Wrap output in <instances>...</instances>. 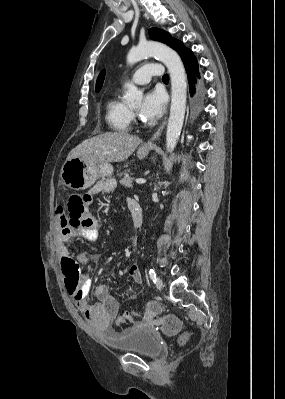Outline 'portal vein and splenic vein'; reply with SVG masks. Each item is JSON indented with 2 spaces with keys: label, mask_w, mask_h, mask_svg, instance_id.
Listing matches in <instances>:
<instances>
[{
  "label": "portal vein and splenic vein",
  "mask_w": 285,
  "mask_h": 399,
  "mask_svg": "<svg viewBox=\"0 0 285 399\" xmlns=\"http://www.w3.org/2000/svg\"><path fill=\"white\" fill-rule=\"evenodd\" d=\"M136 183L137 184H144V183H146V180H144V179H136Z\"/></svg>",
  "instance_id": "1"
}]
</instances>
